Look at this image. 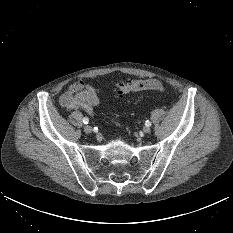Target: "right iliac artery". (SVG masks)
I'll return each instance as SVG.
<instances>
[{"mask_svg": "<svg viewBox=\"0 0 233 233\" xmlns=\"http://www.w3.org/2000/svg\"><path fill=\"white\" fill-rule=\"evenodd\" d=\"M83 123H84V124H88V123H89V119H88L87 117H84V118H83Z\"/></svg>", "mask_w": 233, "mask_h": 233, "instance_id": "82829eb1", "label": "right iliac artery"}]
</instances>
